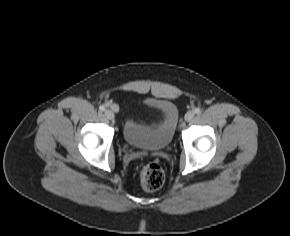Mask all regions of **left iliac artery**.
<instances>
[{
	"instance_id": "left-iliac-artery-1",
	"label": "left iliac artery",
	"mask_w": 290,
	"mask_h": 236,
	"mask_svg": "<svg viewBox=\"0 0 290 236\" xmlns=\"http://www.w3.org/2000/svg\"><path fill=\"white\" fill-rule=\"evenodd\" d=\"M194 112H195L196 114H200V113H201V109H200V108H195Z\"/></svg>"
}]
</instances>
